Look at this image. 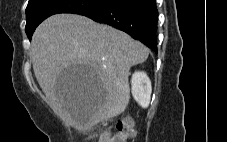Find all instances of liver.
Returning <instances> with one entry per match:
<instances>
[{"instance_id": "1", "label": "liver", "mask_w": 227, "mask_h": 142, "mask_svg": "<svg viewBox=\"0 0 227 142\" xmlns=\"http://www.w3.org/2000/svg\"><path fill=\"white\" fill-rule=\"evenodd\" d=\"M149 49L128 34L77 14L44 20L31 42L35 77L53 110L78 130L120 115L130 100L129 70L146 61ZM70 61L91 65L92 88H63L59 68ZM73 95H70L72 94Z\"/></svg>"}]
</instances>
